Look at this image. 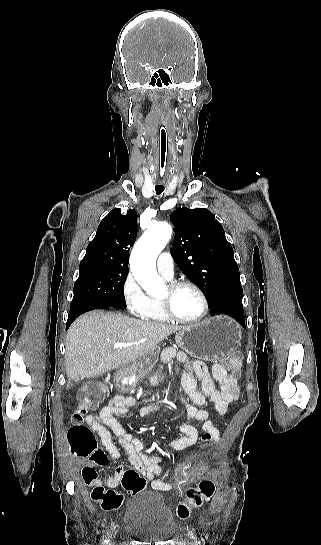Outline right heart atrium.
I'll return each instance as SVG.
<instances>
[{
    "instance_id": "right-heart-atrium-1",
    "label": "right heart atrium",
    "mask_w": 321,
    "mask_h": 545,
    "mask_svg": "<svg viewBox=\"0 0 321 545\" xmlns=\"http://www.w3.org/2000/svg\"><path fill=\"white\" fill-rule=\"evenodd\" d=\"M121 296L127 311L138 318H144L152 301L144 293L142 286L137 281L132 272L124 277L121 283Z\"/></svg>"
}]
</instances>
